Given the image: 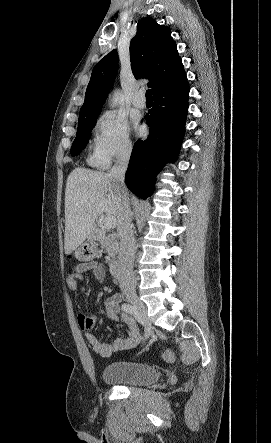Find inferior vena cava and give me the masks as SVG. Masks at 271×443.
I'll list each match as a JSON object with an SVG mask.
<instances>
[{"label": "inferior vena cava", "instance_id": "602c4592", "mask_svg": "<svg viewBox=\"0 0 271 443\" xmlns=\"http://www.w3.org/2000/svg\"><path fill=\"white\" fill-rule=\"evenodd\" d=\"M132 152L131 142H123L116 162L108 176L113 178L117 188L121 192V216L118 222L119 251H118V279L122 296H135L136 279L133 271V257L135 253V241L131 225V208L129 194L125 186V174L128 168Z\"/></svg>", "mask_w": 271, "mask_h": 443}]
</instances>
